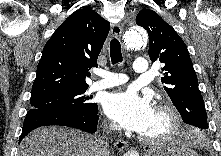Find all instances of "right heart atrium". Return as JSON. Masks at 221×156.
<instances>
[{
  "mask_svg": "<svg viewBox=\"0 0 221 156\" xmlns=\"http://www.w3.org/2000/svg\"><path fill=\"white\" fill-rule=\"evenodd\" d=\"M108 127H110V128H111V127H113V125H112V124H109V125H108Z\"/></svg>",
  "mask_w": 221,
  "mask_h": 156,
  "instance_id": "right-heart-atrium-1",
  "label": "right heart atrium"
}]
</instances>
